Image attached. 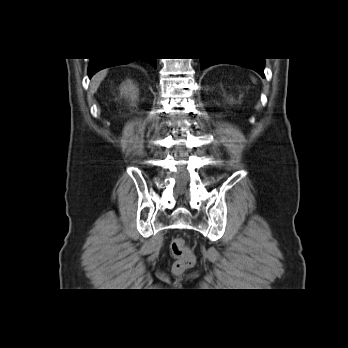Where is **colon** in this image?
I'll use <instances>...</instances> for the list:
<instances>
[{
	"instance_id": "obj_1",
	"label": "colon",
	"mask_w": 348,
	"mask_h": 348,
	"mask_svg": "<svg viewBox=\"0 0 348 348\" xmlns=\"http://www.w3.org/2000/svg\"><path fill=\"white\" fill-rule=\"evenodd\" d=\"M170 250L176 259L173 265L175 273H181L194 264L195 258L182 238H174L170 243Z\"/></svg>"
}]
</instances>
